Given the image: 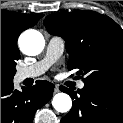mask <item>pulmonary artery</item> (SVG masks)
<instances>
[{"label":"pulmonary artery","instance_id":"pulmonary-artery-1","mask_svg":"<svg viewBox=\"0 0 123 123\" xmlns=\"http://www.w3.org/2000/svg\"><path fill=\"white\" fill-rule=\"evenodd\" d=\"M64 49V40L59 36H52L47 43L44 58L31 66L18 70L17 79L19 81H23L28 78H35L42 75L56 60L60 58L64 52ZM83 87L84 82L80 81L78 83V88L82 89Z\"/></svg>","mask_w":123,"mask_h":123}]
</instances>
